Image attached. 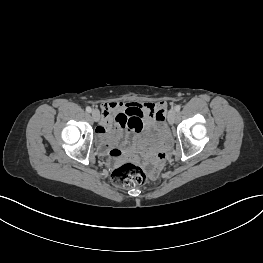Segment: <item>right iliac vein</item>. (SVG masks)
<instances>
[{"mask_svg": "<svg viewBox=\"0 0 263 263\" xmlns=\"http://www.w3.org/2000/svg\"><path fill=\"white\" fill-rule=\"evenodd\" d=\"M91 116L95 122L99 121V119H100V114L97 110H93L91 112Z\"/></svg>", "mask_w": 263, "mask_h": 263, "instance_id": "63e3f726", "label": "right iliac vein"}]
</instances>
